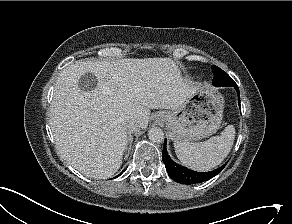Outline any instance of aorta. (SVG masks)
Masks as SVG:
<instances>
[{
  "label": "aorta",
  "instance_id": "aorta-1",
  "mask_svg": "<svg viewBox=\"0 0 292 224\" xmlns=\"http://www.w3.org/2000/svg\"><path fill=\"white\" fill-rule=\"evenodd\" d=\"M149 139L156 143H161L164 140V133L162 129L153 127L148 132Z\"/></svg>",
  "mask_w": 292,
  "mask_h": 224
}]
</instances>
